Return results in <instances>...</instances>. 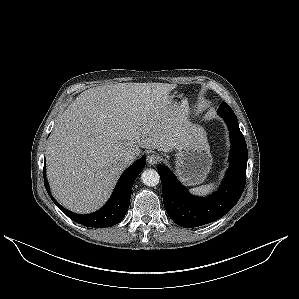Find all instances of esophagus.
Segmentation results:
<instances>
[{"instance_id":"esophagus-1","label":"esophagus","mask_w":299,"mask_h":299,"mask_svg":"<svg viewBox=\"0 0 299 299\" xmlns=\"http://www.w3.org/2000/svg\"><path fill=\"white\" fill-rule=\"evenodd\" d=\"M159 161V156H157L156 154H150L147 156V162L150 165H155L157 164Z\"/></svg>"}]
</instances>
